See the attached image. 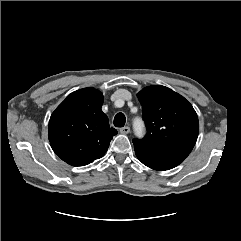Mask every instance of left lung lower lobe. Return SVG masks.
I'll use <instances>...</instances> for the list:
<instances>
[{
	"label": "left lung lower lobe",
	"mask_w": 241,
	"mask_h": 241,
	"mask_svg": "<svg viewBox=\"0 0 241 241\" xmlns=\"http://www.w3.org/2000/svg\"><path fill=\"white\" fill-rule=\"evenodd\" d=\"M133 144L139 161L154 170L164 171L172 169L188 156L185 153L156 151L137 143Z\"/></svg>",
	"instance_id": "0a47b994"
}]
</instances>
